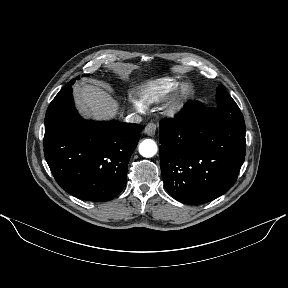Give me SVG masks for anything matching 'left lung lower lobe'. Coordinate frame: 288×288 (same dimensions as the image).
<instances>
[{"label":"left lung lower lobe","mask_w":288,"mask_h":288,"mask_svg":"<svg viewBox=\"0 0 288 288\" xmlns=\"http://www.w3.org/2000/svg\"><path fill=\"white\" fill-rule=\"evenodd\" d=\"M160 144L169 194L185 204H201L234 185L245 158V128L211 117L194 101L176 119L160 122Z\"/></svg>","instance_id":"1"}]
</instances>
